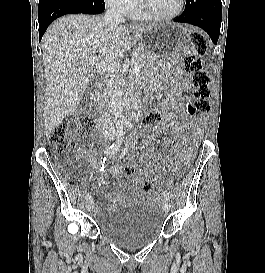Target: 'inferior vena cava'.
I'll use <instances>...</instances> for the list:
<instances>
[{"label": "inferior vena cava", "instance_id": "obj_1", "mask_svg": "<svg viewBox=\"0 0 265 273\" xmlns=\"http://www.w3.org/2000/svg\"><path fill=\"white\" fill-rule=\"evenodd\" d=\"M103 20L106 25L112 28L117 26L119 23L125 21L124 16L121 14L120 10L115 5H111L110 7H108ZM100 124L102 133L104 135H110L114 133L115 127L113 124V120L107 109H103L102 111Z\"/></svg>", "mask_w": 265, "mask_h": 273}]
</instances>
